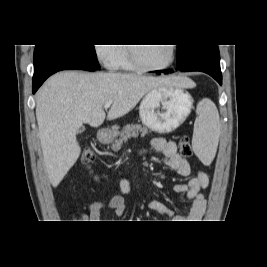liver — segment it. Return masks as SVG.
I'll return each instance as SVG.
<instances>
[{
    "label": "liver",
    "instance_id": "obj_1",
    "mask_svg": "<svg viewBox=\"0 0 267 267\" xmlns=\"http://www.w3.org/2000/svg\"><path fill=\"white\" fill-rule=\"evenodd\" d=\"M194 88L180 76H144L132 73L62 71L50 77L36 97V118L50 183L56 188L80 156L76 133L83 123L99 127L103 106L114 120L130 112L149 91L159 87Z\"/></svg>",
    "mask_w": 267,
    "mask_h": 267
}]
</instances>
